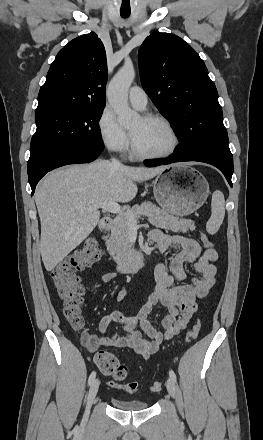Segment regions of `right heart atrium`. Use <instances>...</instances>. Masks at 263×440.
Wrapping results in <instances>:
<instances>
[{
    "mask_svg": "<svg viewBox=\"0 0 263 440\" xmlns=\"http://www.w3.org/2000/svg\"><path fill=\"white\" fill-rule=\"evenodd\" d=\"M98 133L101 142L110 151H123L128 146L129 137L127 132L109 109H104L99 117Z\"/></svg>",
    "mask_w": 263,
    "mask_h": 440,
    "instance_id": "obj_1",
    "label": "right heart atrium"
}]
</instances>
